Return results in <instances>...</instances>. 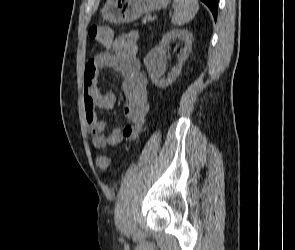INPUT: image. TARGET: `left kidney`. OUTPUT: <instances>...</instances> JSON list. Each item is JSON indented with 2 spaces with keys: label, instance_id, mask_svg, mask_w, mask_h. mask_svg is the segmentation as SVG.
<instances>
[{
  "label": "left kidney",
  "instance_id": "obj_1",
  "mask_svg": "<svg viewBox=\"0 0 295 250\" xmlns=\"http://www.w3.org/2000/svg\"><path fill=\"white\" fill-rule=\"evenodd\" d=\"M174 39L184 41L185 46L178 58V65L171 70L167 78H161L166 71V48ZM192 41L193 35L188 30L173 29L163 36L158 46L151 49L144 59V64L155 86L165 88L176 80L182 70L183 63L192 50Z\"/></svg>",
  "mask_w": 295,
  "mask_h": 250
}]
</instances>
